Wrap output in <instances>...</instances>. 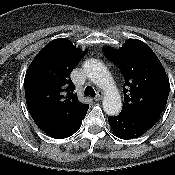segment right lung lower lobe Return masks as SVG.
Listing matches in <instances>:
<instances>
[{"label": "right lung lower lobe", "instance_id": "1", "mask_svg": "<svg viewBox=\"0 0 175 175\" xmlns=\"http://www.w3.org/2000/svg\"><path fill=\"white\" fill-rule=\"evenodd\" d=\"M87 112L74 120H58L53 123L43 125L40 128L50 137L60 139L74 134L82 124Z\"/></svg>", "mask_w": 175, "mask_h": 175}]
</instances>
